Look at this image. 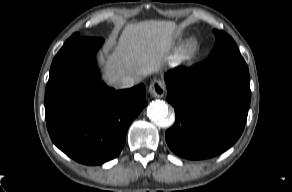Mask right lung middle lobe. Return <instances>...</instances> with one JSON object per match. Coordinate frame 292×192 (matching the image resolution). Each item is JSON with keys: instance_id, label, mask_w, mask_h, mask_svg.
Segmentation results:
<instances>
[{"instance_id": "obj_1", "label": "right lung middle lobe", "mask_w": 292, "mask_h": 192, "mask_svg": "<svg viewBox=\"0 0 292 192\" xmlns=\"http://www.w3.org/2000/svg\"><path fill=\"white\" fill-rule=\"evenodd\" d=\"M78 37H79L78 33H75L71 38H78Z\"/></svg>"}]
</instances>
